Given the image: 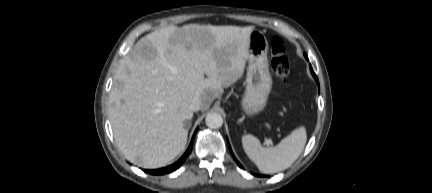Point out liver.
Returning <instances> with one entry per match:
<instances>
[{"instance_id": "liver-1", "label": "liver", "mask_w": 432, "mask_h": 193, "mask_svg": "<svg viewBox=\"0 0 432 193\" xmlns=\"http://www.w3.org/2000/svg\"><path fill=\"white\" fill-rule=\"evenodd\" d=\"M253 30L189 24L141 38L121 61L109 94V118L123 155L146 169L177 157L187 143L192 98L199 97L206 111L242 77Z\"/></svg>"}]
</instances>
